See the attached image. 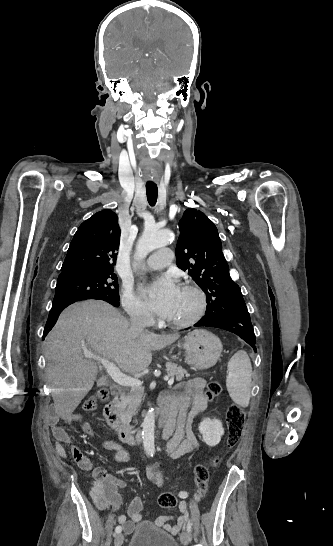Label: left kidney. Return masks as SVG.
I'll use <instances>...</instances> for the list:
<instances>
[{
	"label": "left kidney",
	"mask_w": 333,
	"mask_h": 546,
	"mask_svg": "<svg viewBox=\"0 0 333 546\" xmlns=\"http://www.w3.org/2000/svg\"><path fill=\"white\" fill-rule=\"evenodd\" d=\"M199 431L203 440L209 446H216L224 434L222 423L218 419L205 418L199 425Z\"/></svg>",
	"instance_id": "1"
}]
</instances>
